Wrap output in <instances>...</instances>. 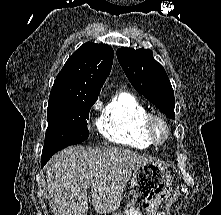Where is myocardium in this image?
<instances>
[{
    "label": "myocardium",
    "mask_w": 221,
    "mask_h": 215,
    "mask_svg": "<svg viewBox=\"0 0 221 215\" xmlns=\"http://www.w3.org/2000/svg\"><path fill=\"white\" fill-rule=\"evenodd\" d=\"M146 132L154 144L161 145L168 139L170 130L163 117L149 114L146 120Z\"/></svg>",
    "instance_id": "obj_1"
}]
</instances>
